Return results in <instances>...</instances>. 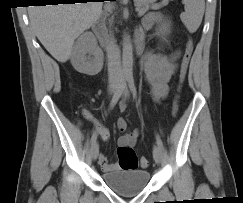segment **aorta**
Masks as SVG:
<instances>
[{"label":"aorta","instance_id":"obj_1","mask_svg":"<svg viewBox=\"0 0 243 203\" xmlns=\"http://www.w3.org/2000/svg\"><path fill=\"white\" fill-rule=\"evenodd\" d=\"M122 67L124 74H130L133 68V48L128 37L123 40Z\"/></svg>","mask_w":243,"mask_h":203}]
</instances>
